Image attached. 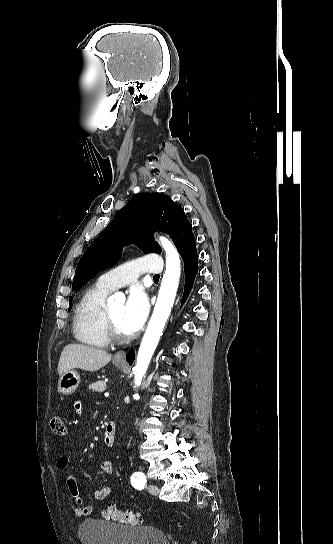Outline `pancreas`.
<instances>
[{"mask_svg": "<svg viewBox=\"0 0 333 544\" xmlns=\"http://www.w3.org/2000/svg\"><path fill=\"white\" fill-rule=\"evenodd\" d=\"M89 389L95 392H103L106 389V383L100 380L93 382L89 385Z\"/></svg>", "mask_w": 333, "mask_h": 544, "instance_id": "pancreas-1", "label": "pancreas"}]
</instances>
